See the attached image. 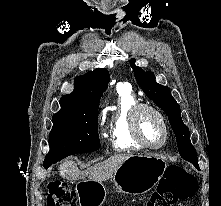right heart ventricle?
Segmentation results:
<instances>
[{"label":"right heart ventricle","mask_w":221,"mask_h":206,"mask_svg":"<svg viewBox=\"0 0 221 206\" xmlns=\"http://www.w3.org/2000/svg\"><path fill=\"white\" fill-rule=\"evenodd\" d=\"M138 100L127 85H118L116 103L108 123L110 143L116 151L140 150L131 130V111Z\"/></svg>","instance_id":"right-heart-ventricle-1"}]
</instances>
